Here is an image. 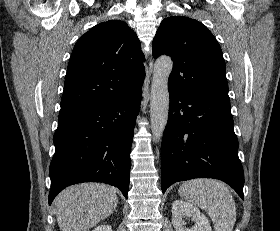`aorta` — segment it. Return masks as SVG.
<instances>
[{
  "label": "aorta",
  "mask_w": 280,
  "mask_h": 231,
  "mask_svg": "<svg viewBox=\"0 0 280 231\" xmlns=\"http://www.w3.org/2000/svg\"><path fill=\"white\" fill-rule=\"evenodd\" d=\"M173 62L169 56H160L153 68L151 84L150 119L154 141H159L167 125L169 110L168 78Z\"/></svg>",
  "instance_id": "762f6f07"
}]
</instances>
